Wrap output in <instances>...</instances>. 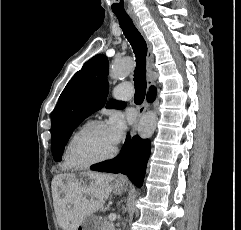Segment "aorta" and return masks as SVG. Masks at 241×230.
Returning a JSON list of instances; mask_svg holds the SVG:
<instances>
[{"mask_svg":"<svg viewBox=\"0 0 241 230\" xmlns=\"http://www.w3.org/2000/svg\"><path fill=\"white\" fill-rule=\"evenodd\" d=\"M133 69V60L129 57L115 61L110 67L109 76L114 80H122L127 77ZM157 114L147 112L140 120L138 125V134L141 138H150L157 126Z\"/></svg>","mask_w":241,"mask_h":230,"instance_id":"762f6f07","label":"aorta"}]
</instances>
